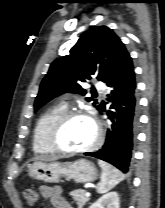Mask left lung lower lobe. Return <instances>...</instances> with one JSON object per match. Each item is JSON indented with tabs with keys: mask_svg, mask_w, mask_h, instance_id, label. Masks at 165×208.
Instances as JSON below:
<instances>
[{
	"mask_svg": "<svg viewBox=\"0 0 165 208\" xmlns=\"http://www.w3.org/2000/svg\"><path fill=\"white\" fill-rule=\"evenodd\" d=\"M106 84L110 87L107 100L113 110L108 111L107 115L112 124L102 148L85 155L104 160L123 173H128L131 169L139 120L135 73L130 55L123 60ZM103 109L104 107L100 106L99 111Z\"/></svg>",
	"mask_w": 165,
	"mask_h": 208,
	"instance_id": "obj_1",
	"label": "left lung lower lobe"
}]
</instances>
